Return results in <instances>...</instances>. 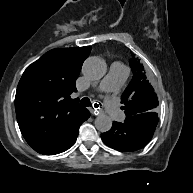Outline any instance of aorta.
Returning <instances> with one entry per match:
<instances>
[{"instance_id":"1","label":"aorta","mask_w":193,"mask_h":193,"mask_svg":"<svg viewBox=\"0 0 193 193\" xmlns=\"http://www.w3.org/2000/svg\"><path fill=\"white\" fill-rule=\"evenodd\" d=\"M106 72V64L99 57H89L83 65V73L91 79H100ZM95 127L99 132H107L112 127V119L106 114H100L95 119Z\"/></svg>"}]
</instances>
